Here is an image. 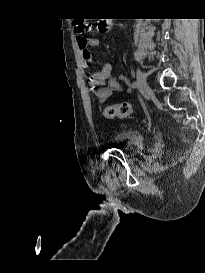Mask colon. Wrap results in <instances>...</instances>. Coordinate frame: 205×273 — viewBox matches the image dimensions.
Listing matches in <instances>:
<instances>
[{
    "mask_svg": "<svg viewBox=\"0 0 205 273\" xmlns=\"http://www.w3.org/2000/svg\"><path fill=\"white\" fill-rule=\"evenodd\" d=\"M74 26L76 33L79 34L80 36L89 32L91 29V24L89 22L80 19L75 21ZM132 112L133 108L130 103L120 102L107 106L104 109V116L107 119L127 118L132 114Z\"/></svg>",
    "mask_w": 205,
    "mask_h": 273,
    "instance_id": "colon-1",
    "label": "colon"
}]
</instances>
